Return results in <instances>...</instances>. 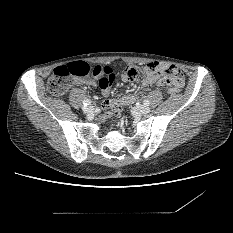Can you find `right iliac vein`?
I'll use <instances>...</instances> for the list:
<instances>
[{
	"mask_svg": "<svg viewBox=\"0 0 233 233\" xmlns=\"http://www.w3.org/2000/svg\"><path fill=\"white\" fill-rule=\"evenodd\" d=\"M83 112L87 113V114L93 113L94 112V107L93 106L83 107Z\"/></svg>",
	"mask_w": 233,
	"mask_h": 233,
	"instance_id": "obj_1",
	"label": "right iliac vein"
}]
</instances>
